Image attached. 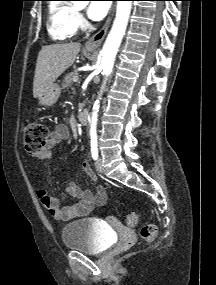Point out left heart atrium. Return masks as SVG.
I'll list each match as a JSON object with an SVG mask.
<instances>
[{
	"instance_id": "39dd6f15",
	"label": "left heart atrium",
	"mask_w": 216,
	"mask_h": 285,
	"mask_svg": "<svg viewBox=\"0 0 216 285\" xmlns=\"http://www.w3.org/2000/svg\"><path fill=\"white\" fill-rule=\"evenodd\" d=\"M110 8L109 1H92L87 8V15L94 21L103 19Z\"/></svg>"
}]
</instances>
